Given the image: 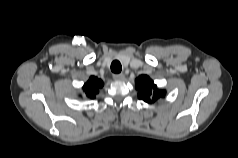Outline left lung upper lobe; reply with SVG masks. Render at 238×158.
<instances>
[{
    "label": "left lung upper lobe",
    "instance_id": "obj_1",
    "mask_svg": "<svg viewBox=\"0 0 238 158\" xmlns=\"http://www.w3.org/2000/svg\"><path fill=\"white\" fill-rule=\"evenodd\" d=\"M136 89L138 90V98L147 103L155 102L160 97H164L165 90L157 89L153 81L147 75H141L136 80Z\"/></svg>",
    "mask_w": 238,
    "mask_h": 158
}]
</instances>
